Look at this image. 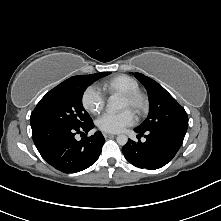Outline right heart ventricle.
<instances>
[{"label":"right heart ventricle","instance_id":"e07e8e85","mask_svg":"<svg viewBox=\"0 0 221 221\" xmlns=\"http://www.w3.org/2000/svg\"><path fill=\"white\" fill-rule=\"evenodd\" d=\"M102 88L109 95H123L140 89L138 81L128 75H117L104 82Z\"/></svg>","mask_w":221,"mask_h":221}]
</instances>
